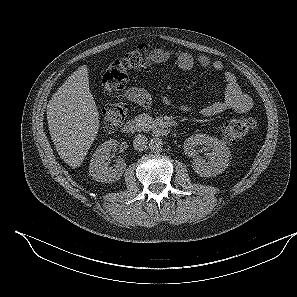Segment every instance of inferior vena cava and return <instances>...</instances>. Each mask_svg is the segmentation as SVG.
Returning a JSON list of instances; mask_svg holds the SVG:
<instances>
[{"label": "inferior vena cava", "instance_id": "602c4592", "mask_svg": "<svg viewBox=\"0 0 297 297\" xmlns=\"http://www.w3.org/2000/svg\"><path fill=\"white\" fill-rule=\"evenodd\" d=\"M147 137L144 135H136L134 140H133V147L137 151H143L147 147Z\"/></svg>", "mask_w": 297, "mask_h": 297}]
</instances>
